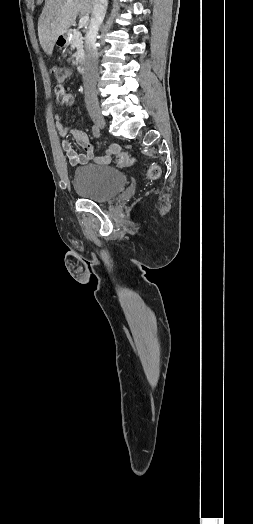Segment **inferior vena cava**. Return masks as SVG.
I'll return each mask as SVG.
<instances>
[{
  "instance_id": "obj_1",
  "label": "inferior vena cava",
  "mask_w": 253,
  "mask_h": 524,
  "mask_svg": "<svg viewBox=\"0 0 253 524\" xmlns=\"http://www.w3.org/2000/svg\"><path fill=\"white\" fill-rule=\"evenodd\" d=\"M107 7V0H95L89 31L86 36V67L83 76L85 103L87 106H98L96 82L98 71V50L96 36L102 24Z\"/></svg>"
}]
</instances>
